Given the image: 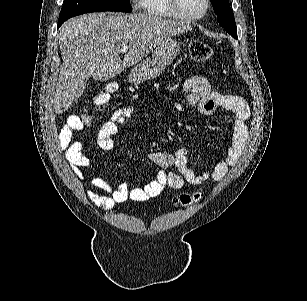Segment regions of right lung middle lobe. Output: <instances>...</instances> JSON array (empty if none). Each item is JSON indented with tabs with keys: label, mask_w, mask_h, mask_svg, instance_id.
<instances>
[{
	"label": "right lung middle lobe",
	"mask_w": 307,
	"mask_h": 301,
	"mask_svg": "<svg viewBox=\"0 0 307 301\" xmlns=\"http://www.w3.org/2000/svg\"><path fill=\"white\" fill-rule=\"evenodd\" d=\"M132 12L130 0H65L61 9L58 27L67 19L89 12Z\"/></svg>",
	"instance_id": "1"
}]
</instances>
